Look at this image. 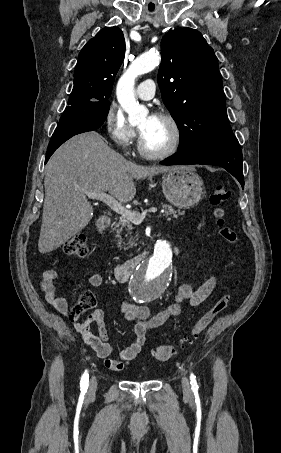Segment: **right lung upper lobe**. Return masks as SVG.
Returning <instances> with one entry per match:
<instances>
[{"mask_svg":"<svg viewBox=\"0 0 281 453\" xmlns=\"http://www.w3.org/2000/svg\"><path fill=\"white\" fill-rule=\"evenodd\" d=\"M124 55V35L117 27L103 28L90 39L78 57L69 107L110 103L108 98Z\"/></svg>","mask_w":281,"mask_h":453,"instance_id":"1","label":"right lung upper lobe"}]
</instances>
